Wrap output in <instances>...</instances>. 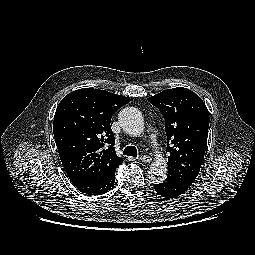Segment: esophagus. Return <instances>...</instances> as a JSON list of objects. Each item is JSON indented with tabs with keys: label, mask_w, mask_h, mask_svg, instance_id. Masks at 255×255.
<instances>
[{
	"label": "esophagus",
	"mask_w": 255,
	"mask_h": 255,
	"mask_svg": "<svg viewBox=\"0 0 255 255\" xmlns=\"http://www.w3.org/2000/svg\"><path fill=\"white\" fill-rule=\"evenodd\" d=\"M140 160L144 163H150L151 162V157L149 155H142L140 157Z\"/></svg>",
	"instance_id": "obj_1"
}]
</instances>
